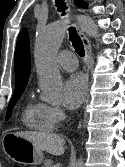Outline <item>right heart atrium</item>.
<instances>
[{
    "label": "right heart atrium",
    "instance_id": "1",
    "mask_svg": "<svg viewBox=\"0 0 125 167\" xmlns=\"http://www.w3.org/2000/svg\"><path fill=\"white\" fill-rule=\"evenodd\" d=\"M48 113L51 121L54 125L59 124L64 119V112L61 107L49 105L48 106Z\"/></svg>",
    "mask_w": 125,
    "mask_h": 167
}]
</instances>
